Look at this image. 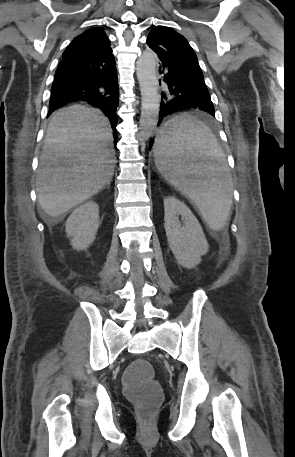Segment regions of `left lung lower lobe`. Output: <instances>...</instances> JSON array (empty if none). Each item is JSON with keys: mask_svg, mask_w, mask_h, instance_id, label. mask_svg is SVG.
Segmentation results:
<instances>
[{"mask_svg": "<svg viewBox=\"0 0 295 457\" xmlns=\"http://www.w3.org/2000/svg\"><path fill=\"white\" fill-rule=\"evenodd\" d=\"M147 45L158 55L159 73L168 86L166 93L161 95L159 123L164 116L191 108L215 116L201 69L177 59L154 43L147 42ZM153 143L154 139H151L149 148Z\"/></svg>", "mask_w": 295, "mask_h": 457, "instance_id": "1", "label": "left lung lower lobe"}]
</instances>
